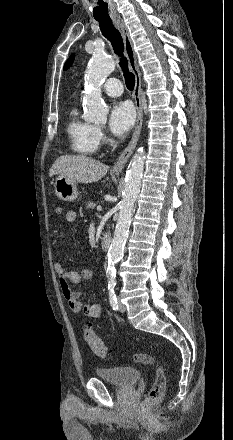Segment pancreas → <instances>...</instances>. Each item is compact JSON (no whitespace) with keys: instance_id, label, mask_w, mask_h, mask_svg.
<instances>
[{"instance_id":"obj_1","label":"pancreas","mask_w":233,"mask_h":440,"mask_svg":"<svg viewBox=\"0 0 233 440\" xmlns=\"http://www.w3.org/2000/svg\"><path fill=\"white\" fill-rule=\"evenodd\" d=\"M95 206H96V203H95V202H93V201H89V202L87 203V205H86V208H87V209H94Z\"/></svg>"}]
</instances>
